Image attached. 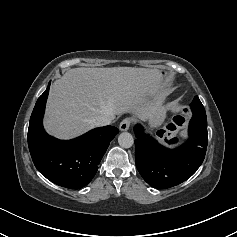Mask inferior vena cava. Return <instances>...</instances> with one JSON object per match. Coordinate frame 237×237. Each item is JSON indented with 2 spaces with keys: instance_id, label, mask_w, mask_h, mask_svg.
I'll list each match as a JSON object with an SVG mask.
<instances>
[{
  "instance_id": "602c4592",
  "label": "inferior vena cava",
  "mask_w": 237,
  "mask_h": 237,
  "mask_svg": "<svg viewBox=\"0 0 237 237\" xmlns=\"http://www.w3.org/2000/svg\"><path fill=\"white\" fill-rule=\"evenodd\" d=\"M112 117L108 115H100L93 119V125L96 127L110 125L112 122Z\"/></svg>"
}]
</instances>
